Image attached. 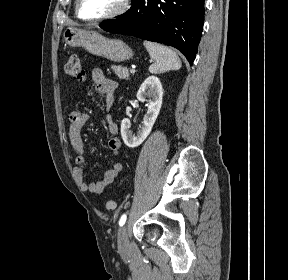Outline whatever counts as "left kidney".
I'll list each match as a JSON object with an SVG mask.
<instances>
[{"label":"left kidney","mask_w":288,"mask_h":280,"mask_svg":"<svg viewBox=\"0 0 288 280\" xmlns=\"http://www.w3.org/2000/svg\"><path fill=\"white\" fill-rule=\"evenodd\" d=\"M137 99L140 102H146L148 111L142 122V126L139 127L136 135H133L130 130V120L124 118L121 122V136L126 144L130 148H134L142 144V142L150 134L152 127L159 115L162 99L163 88L158 77L150 76L141 85L137 92Z\"/></svg>","instance_id":"left-kidney-1"}]
</instances>
